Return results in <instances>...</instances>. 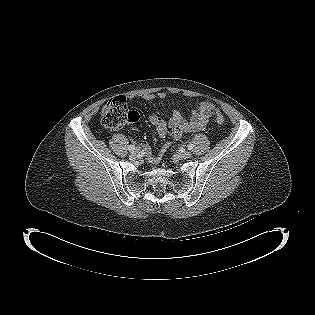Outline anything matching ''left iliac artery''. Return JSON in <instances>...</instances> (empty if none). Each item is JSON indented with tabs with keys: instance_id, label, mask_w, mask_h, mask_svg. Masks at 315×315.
<instances>
[{
	"instance_id": "44dca946",
	"label": "left iliac artery",
	"mask_w": 315,
	"mask_h": 315,
	"mask_svg": "<svg viewBox=\"0 0 315 315\" xmlns=\"http://www.w3.org/2000/svg\"><path fill=\"white\" fill-rule=\"evenodd\" d=\"M193 148H194V145H193V144H189V145H188V149H189V150H192Z\"/></svg>"
}]
</instances>
